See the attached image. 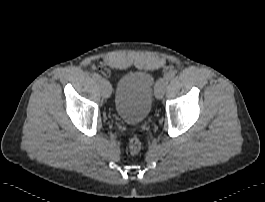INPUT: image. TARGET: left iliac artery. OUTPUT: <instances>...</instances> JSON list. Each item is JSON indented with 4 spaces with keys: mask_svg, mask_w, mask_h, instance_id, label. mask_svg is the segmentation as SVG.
Instances as JSON below:
<instances>
[{
    "mask_svg": "<svg viewBox=\"0 0 265 202\" xmlns=\"http://www.w3.org/2000/svg\"><path fill=\"white\" fill-rule=\"evenodd\" d=\"M165 77L169 80H172L175 77V73L174 72H168Z\"/></svg>",
    "mask_w": 265,
    "mask_h": 202,
    "instance_id": "left-iliac-artery-1",
    "label": "left iliac artery"
}]
</instances>
